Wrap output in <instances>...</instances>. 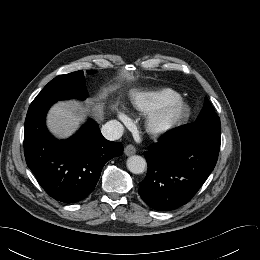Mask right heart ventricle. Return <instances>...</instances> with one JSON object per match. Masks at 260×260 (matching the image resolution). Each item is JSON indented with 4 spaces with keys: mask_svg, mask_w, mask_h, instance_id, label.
Segmentation results:
<instances>
[{
    "mask_svg": "<svg viewBox=\"0 0 260 260\" xmlns=\"http://www.w3.org/2000/svg\"><path fill=\"white\" fill-rule=\"evenodd\" d=\"M177 96L179 94L171 88L138 90L131 94L130 104L135 110L147 114L163 102Z\"/></svg>",
    "mask_w": 260,
    "mask_h": 260,
    "instance_id": "right-heart-ventricle-1",
    "label": "right heart ventricle"
}]
</instances>
